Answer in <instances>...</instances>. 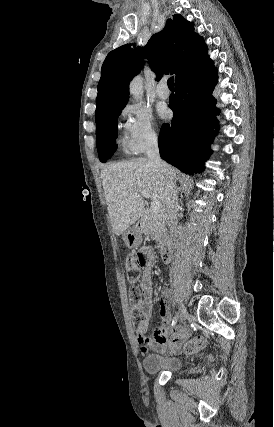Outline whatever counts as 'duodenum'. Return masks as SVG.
Here are the masks:
<instances>
[{"mask_svg": "<svg viewBox=\"0 0 274 427\" xmlns=\"http://www.w3.org/2000/svg\"><path fill=\"white\" fill-rule=\"evenodd\" d=\"M160 254L163 261L168 262L170 259V244L166 241L160 244Z\"/></svg>", "mask_w": 274, "mask_h": 427, "instance_id": "duodenum-1", "label": "duodenum"}]
</instances>
